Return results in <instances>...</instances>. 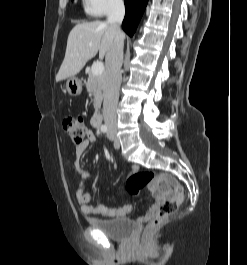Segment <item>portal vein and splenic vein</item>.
I'll list each match as a JSON object with an SVG mask.
<instances>
[{"label": "portal vein and splenic vein", "instance_id": "1", "mask_svg": "<svg viewBox=\"0 0 247 265\" xmlns=\"http://www.w3.org/2000/svg\"><path fill=\"white\" fill-rule=\"evenodd\" d=\"M93 75H102L104 72V65L102 62H94L91 68Z\"/></svg>", "mask_w": 247, "mask_h": 265}]
</instances>
